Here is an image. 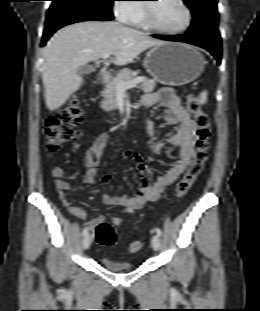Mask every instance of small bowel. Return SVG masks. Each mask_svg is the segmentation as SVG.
I'll return each mask as SVG.
<instances>
[{"mask_svg": "<svg viewBox=\"0 0 260 311\" xmlns=\"http://www.w3.org/2000/svg\"><path fill=\"white\" fill-rule=\"evenodd\" d=\"M142 105L146 109L155 105H162L167 109L165 122L169 125L178 126L177 131L165 142L153 143L152 137L154 134V126L149 119L145 118L144 132L148 137V151L153 154H158L166 145H172L179 149V157L168 171L158 175L156 181L153 184H150L146 175L147 167L145 164L144 154L133 149H129L122 154V158H131L137 162V166L140 171L139 185L132 196L103 195L102 200L106 205H118L123 207L126 215L133 214L147 201L157 200L160 194L178 179V177L190 164L196 142V126L194 121L192 120L189 112L182 105L179 97L172 89L163 88L157 92L147 94L142 100ZM108 140L109 135L107 133L99 135L89 149L88 153L85 155L86 183H91L95 180L102 150L107 145ZM93 154L96 155L95 159L92 157ZM51 175L58 190L59 198L62 201V204L67 208L68 212L80 220H85L87 216L86 211L79 206L72 205L71 199L66 193L69 189H71V185L64 180V167L57 166L53 168ZM109 180V174H105L102 178L104 183ZM102 221H104V217L99 216L88 221L87 226L93 230ZM111 222L115 226H118L123 222V218L121 216H114L112 217Z\"/></svg>", "mask_w": 260, "mask_h": 311, "instance_id": "c3829d8e", "label": "small bowel"}]
</instances>
